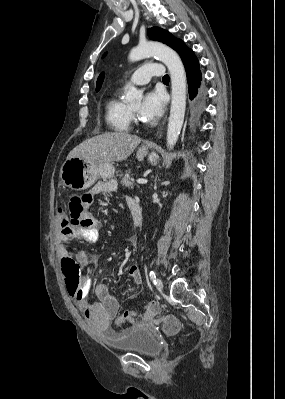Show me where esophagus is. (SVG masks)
I'll list each match as a JSON object with an SVG mask.
<instances>
[{"label":"esophagus","instance_id":"1","mask_svg":"<svg viewBox=\"0 0 285 399\" xmlns=\"http://www.w3.org/2000/svg\"><path fill=\"white\" fill-rule=\"evenodd\" d=\"M161 130H162V127L157 131V133L155 134V136H158V134L161 133ZM144 147H145V148L152 147V141L147 142V143L145 144Z\"/></svg>","mask_w":285,"mask_h":399}]
</instances>
